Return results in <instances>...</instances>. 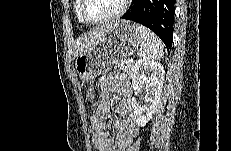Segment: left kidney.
Instances as JSON below:
<instances>
[{
    "label": "left kidney",
    "instance_id": "left-kidney-1",
    "mask_svg": "<svg viewBox=\"0 0 231 151\" xmlns=\"http://www.w3.org/2000/svg\"><path fill=\"white\" fill-rule=\"evenodd\" d=\"M163 66L154 61L139 60L132 72V86L138 92L145 86V98L139 105L136 98H132L135 120L138 126L143 127L155 113L160 101L164 81Z\"/></svg>",
    "mask_w": 231,
    "mask_h": 151
}]
</instances>
